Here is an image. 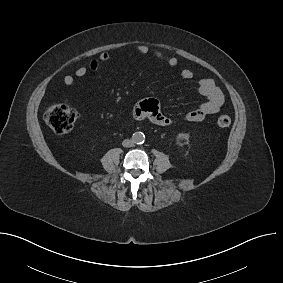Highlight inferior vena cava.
Returning a JSON list of instances; mask_svg holds the SVG:
<instances>
[{"label": "inferior vena cava", "mask_w": 283, "mask_h": 283, "mask_svg": "<svg viewBox=\"0 0 283 283\" xmlns=\"http://www.w3.org/2000/svg\"><path fill=\"white\" fill-rule=\"evenodd\" d=\"M124 147H132L134 146V142L130 139H125L122 143Z\"/></svg>", "instance_id": "602c4592"}]
</instances>
